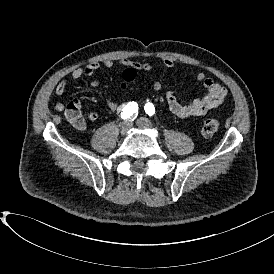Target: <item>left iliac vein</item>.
Wrapping results in <instances>:
<instances>
[{
	"mask_svg": "<svg viewBox=\"0 0 274 274\" xmlns=\"http://www.w3.org/2000/svg\"><path fill=\"white\" fill-rule=\"evenodd\" d=\"M136 124L139 128H142V129H152L153 128L152 123L148 119L143 118V117L137 119Z\"/></svg>",
	"mask_w": 274,
	"mask_h": 274,
	"instance_id": "1",
	"label": "left iliac vein"
}]
</instances>
